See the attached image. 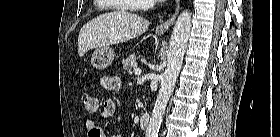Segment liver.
Segmentation results:
<instances>
[{"mask_svg":"<svg viewBox=\"0 0 280 137\" xmlns=\"http://www.w3.org/2000/svg\"><path fill=\"white\" fill-rule=\"evenodd\" d=\"M149 25L148 20L125 11L99 15L80 29L78 55L82 57L90 49L127 42L144 33Z\"/></svg>","mask_w":280,"mask_h":137,"instance_id":"6515ba94","label":"liver"}]
</instances>
